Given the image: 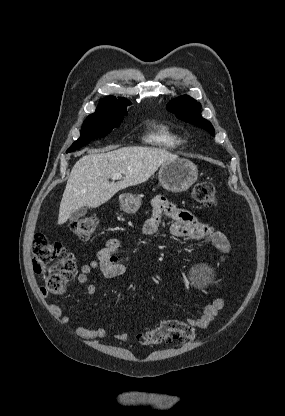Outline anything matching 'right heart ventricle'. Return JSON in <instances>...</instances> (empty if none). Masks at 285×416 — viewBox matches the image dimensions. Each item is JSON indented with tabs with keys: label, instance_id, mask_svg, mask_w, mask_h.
<instances>
[{
	"label": "right heart ventricle",
	"instance_id": "right-heart-ventricle-1",
	"mask_svg": "<svg viewBox=\"0 0 285 416\" xmlns=\"http://www.w3.org/2000/svg\"><path fill=\"white\" fill-rule=\"evenodd\" d=\"M145 141L163 149H174L182 143V138L169 126L154 124L145 137Z\"/></svg>",
	"mask_w": 285,
	"mask_h": 416
}]
</instances>
